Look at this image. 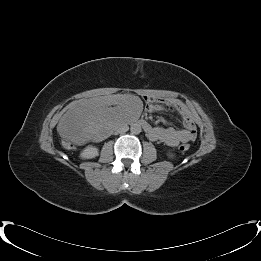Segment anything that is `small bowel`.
I'll list each match as a JSON object with an SVG mask.
<instances>
[{
	"label": "small bowel",
	"instance_id": "small-bowel-1",
	"mask_svg": "<svg viewBox=\"0 0 261 261\" xmlns=\"http://www.w3.org/2000/svg\"><path fill=\"white\" fill-rule=\"evenodd\" d=\"M148 109L151 112L169 111L176 112L182 119L184 129L177 130L173 127H151L149 137L161 141L169 146H178L180 143L194 141L197 136V126L190 111L180 102L172 99L148 97Z\"/></svg>",
	"mask_w": 261,
	"mask_h": 261
}]
</instances>
